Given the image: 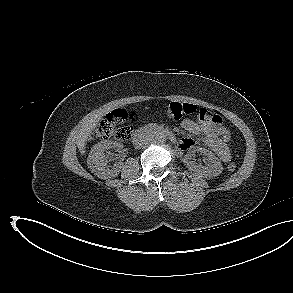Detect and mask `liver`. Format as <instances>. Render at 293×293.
<instances>
[{
	"mask_svg": "<svg viewBox=\"0 0 293 293\" xmlns=\"http://www.w3.org/2000/svg\"><path fill=\"white\" fill-rule=\"evenodd\" d=\"M110 111V108L97 110L96 112L84 118L76 140L77 147L81 154H85L86 142L92 131L95 129L102 117Z\"/></svg>",
	"mask_w": 293,
	"mask_h": 293,
	"instance_id": "obj_1",
	"label": "liver"
}]
</instances>
